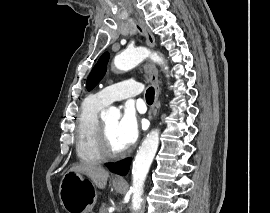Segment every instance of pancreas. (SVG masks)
<instances>
[{
  "instance_id": "1",
  "label": "pancreas",
  "mask_w": 270,
  "mask_h": 213,
  "mask_svg": "<svg viewBox=\"0 0 270 213\" xmlns=\"http://www.w3.org/2000/svg\"><path fill=\"white\" fill-rule=\"evenodd\" d=\"M99 213H107L106 204H102V206L99 208Z\"/></svg>"
}]
</instances>
